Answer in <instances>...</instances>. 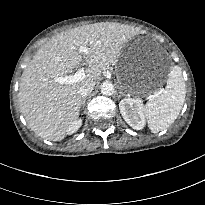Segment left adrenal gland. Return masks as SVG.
<instances>
[{
    "label": "left adrenal gland",
    "mask_w": 205,
    "mask_h": 205,
    "mask_svg": "<svg viewBox=\"0 0 205 205\" xmlns=\"http://www.w3.org/2000/svg\"><path fill=\"white\" fill-rule=\"evenodd\" d=\"M121 96H127V95H125V93L122 91V88H120V91H119V98H120Z\"/></svg>",
    "instance_id": "obj_1"
}]
</instances>
